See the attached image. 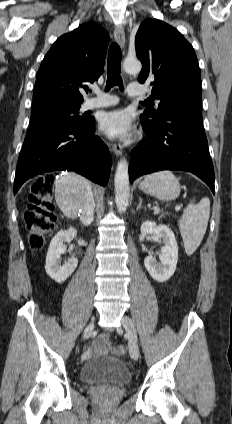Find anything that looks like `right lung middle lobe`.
<instances>
[{
	"label": "right lung middle lobe",
	"instance_id": "right-lung-middle-lobe-1",
	"mask_svg": "<svg viewBox=\"0 0 232 424\" xmlns=\"http://www.w3.org/2000/svg\"><path fill=\"white\" fill-rule=\"evenodd\" d=\"M81 105L48 104L33 108L31 124H67L81 126L91 119L78 115Z\"/></svg>",
	"mask_w": 232,
	"mask_h": 424
}]
</instances>
